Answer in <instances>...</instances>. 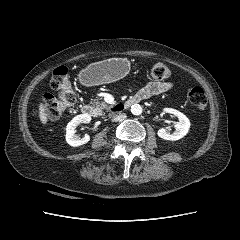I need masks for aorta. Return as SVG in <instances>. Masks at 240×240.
Here are the masks:
<instances>
[{
  "label": "aorta",
  "mask_w": 240,
  "mask_h": 240,
  "mask_svg": "<svg viewBox=\"0 0 240 240\" xmlns=\"http://www.w3.org/2000/svg\"><path fill=\"white\" fill-rule=\"evenodd\" d=\"M131 113L133 115H140L142 113V107L139 104H134L131 106Z\"/></svg>",
  "instance_id": "obj_1"
}]
</instances>
